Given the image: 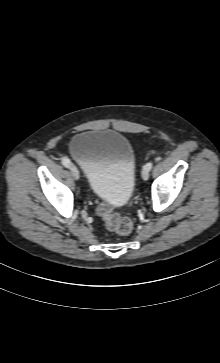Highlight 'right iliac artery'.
I'll return each mask as SVG.
<instances>
[{
    "instance_id": "right-iliac-artery-1",
    "label": "right iliac artery",
    "mask_w": 220,
    "mask_h": 363,
    "mask_svg": "<svg viewBox=\"0 0 220 363\" xmlns=\"http://www.w3.org/2000/svg\"><path fill=\"white\" fill-rule=\"evenodd\" d=\"M70 160L66 157L62 158V164L65 166V167H69L70 166Z\"/></svg>"
}]
</instances>
